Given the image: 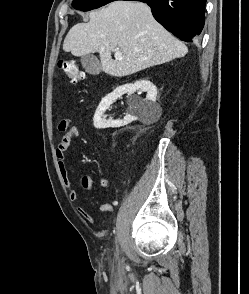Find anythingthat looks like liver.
<instances>
[{
  "label": "liver",
  "instance_id": "liver-1",
  "mask_svg": "<svg viewBox=\"0 0 249 294\" xmlns=\"http://www.w3.org/2000/svg\"><path fill=\"white\" fill-rule=\"evenodd\" d=\"M118 48L122 60L112 58ZM63 50L74 56L98 52L101 69L123 77L183 57L188 48L152 16L142 2L115 1L89 14L88 23H78L68 32Z\"/></svg>",
  "mask_w": 249,
  "mask_h": 294
}]
</instances>
